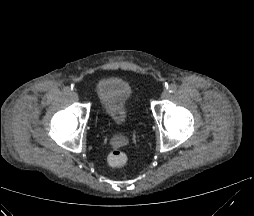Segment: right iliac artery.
Listing matches in <instances>:
<instances>
[{
	"label": "right iliac artery",
	"instance_id": "1",
	"mask_svg": "<svg viewBox=\"0 0 254 216\" xmlns=\"http://www.w3.org/2000/svg\"><path fill=\"white\" fill-rule=\"evenodd\" d=\"M64 92L70 95L72 93V89L70 87H65Z\"/></svg>",
	"mask_w": 254,
	"mask_h": 216
}]
</instances>
